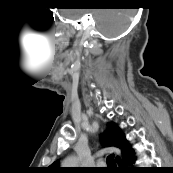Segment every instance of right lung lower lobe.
Masks as SVG:
<instances>
[{
  "label": "right lung lower lobe",
  "instance_id": "obj_1",
  "mask_svg": "<svg viewBox=\"0 0 173 173\" xmlns=\"http://www.w3.org/2000/svg\"><path fill=\"white\" fill-rule=\"evenodd\" d=\"M134 160H135V157H134L133 150L131 152H129L123 158V161L125 163H129L130 165L134 162ZM118 164H119L120 167L117 170V173H146V172H148L144 168H140V167H127V166H123V163L122 162H120Z\"/></svg>",
  "mask_w": 173,
  "mask_h": 173
}]
</instances>
